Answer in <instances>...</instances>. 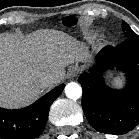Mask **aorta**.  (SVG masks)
I'll use <instances>...</instances> for the list:
<instances>
[{"mask_svg": "<svg viewBox=\"0 0 139 139\" xmlns=\"http://www.w3.org/2000/svg\"><path fill=\"white\" fill-rule=\"evenodd\" d=\"M65 94L69 99L77 100L82 96V88L78 83L70 82L65 87Z\"/></svg>", "mask_w": 139, "mask_h": 139, "instance_id": "762f6f07", "label": "aorta"}]
</instances>
